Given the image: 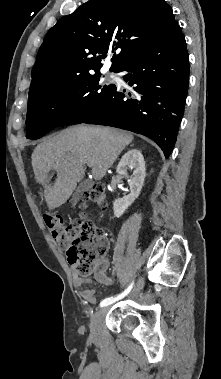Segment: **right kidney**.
I'll list each match as a JSON object with an SVG mask.
<instances>
[{"label": "right kidney", "instance_id": "right-kidney-1", "mask_svg": "<svg viewBox=\"0 0 221 379\" xmlns=\"http://www.w3.org/2000/svg\"><path fill=\"white\" fill-rule=\"evenodd\" d=\"M133 169L132 176H128L127 170ZM145 161L140 150H129L121 158L116 172L119 175L125 176L128 179L130 193L122 199H116L113 203V211L115 217L119 218L125 210L131 206L135 199L140 195L146 176Z\"/></svg>", "mask_w": 221, "mask_h": 379}]
</instances>
